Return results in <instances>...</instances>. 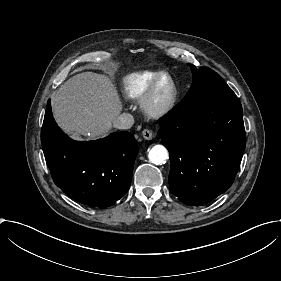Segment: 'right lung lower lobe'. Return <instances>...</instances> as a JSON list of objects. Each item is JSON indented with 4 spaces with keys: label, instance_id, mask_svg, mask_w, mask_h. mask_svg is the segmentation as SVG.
Returning a JSON list of instances; mask_svg holds the SVG:
<instances>
[{
    "label": "right lung lower lobe",
    "instance_id": "obj_1",
    "mask_svg": "<svg viewBox=\"0 0 281 281\" xmlns=\"http://www.w3.org/2000/svg\"><path fill=\"white\" fill-rule=\"evenodd\" d=\"M41 143L54 183L72 199L106 208L128 191L138 154L132 133L116 132L96 141H74L57 126L48 100Z\"/></svg>",
    "mask_w": 281,
    "mask_h": 281
}]
</instances>
